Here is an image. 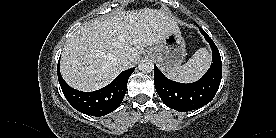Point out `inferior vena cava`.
<instances>
[{
	"mask_svg": "<svg viewBox=\"0 0 276 138\" xmlns=\"http://www.w3.org/2000/svg\"><path fill=\"white\" fill-rule=\"evenodd\" d=\"M131 57L127 54L121 55L119 57V61L124 65V66H129L131 64Z\"/></svg>",
	"mask_w": 276,
	"mask_h": 138,
	"instance_id": "1",
	"label": "inferior vena cava"
}]
</instances>
